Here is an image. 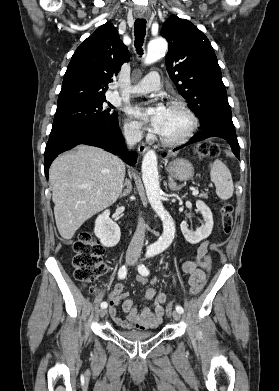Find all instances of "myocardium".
Returning a JSON list of instances; mask_svg holds the SVG:
<instances>
[{
	"label": "myocardium",
	"mask_w": 279,
	"mask_h": 391,
	"mask_svg": "<svg viewBox=\"0 0 279 391\" xmlns=\"http://www.w3.org/2000/svg\"><path fill=\"white\" fill-rule=\"evenodd\" d=\"M168 108H179L185 112L190 120V126L187 131L180 138L168 139L163 137L161 134L158 135L159 141L165 146H179L186 143L194 134L198 127V118L193 110L183 101L175 100L169 103Z\"/></svg>",
	"instance_id": "myocardium-1"
}]
</instances>
